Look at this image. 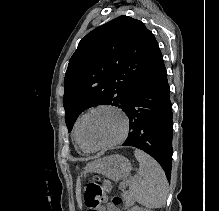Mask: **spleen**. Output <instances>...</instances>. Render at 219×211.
<instances>
[{
    "label": "spleen",
    "instance_id": "obj_1",
    "mask_svg": "<svg viewBox=\"0 0 219 211\" xmlns=\"http://www.w3.org/2000/svg\"><path fill=\"white\" fill-rule=\"evenodd\" d=\"M134 155L140 169L138 177L132 179L129 187L133 201L146 207H162L167 197L168 181L161 165L142 149H135Z\"/></svg>",
    "mask_w": 219,
    "mask_h": 211
}]
</instances>
